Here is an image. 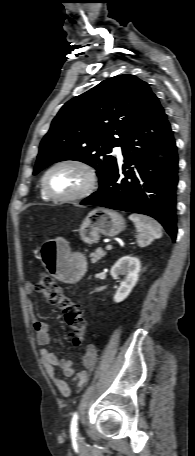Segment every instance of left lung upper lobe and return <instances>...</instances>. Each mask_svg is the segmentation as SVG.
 <instances>
[{
	"mask_svg": "<svg viewBox=\"0 0 195 456\" xmlns=\"http://www.w3.org/2000/svg\"><path fill=\"white\" fill-rule=\"evenodd\" d=\"M156 98L146 82L123 74L71 99L41 141L33 174L55 162L77 160L97 170L101 185L117 163L110 155L112 149L122 146L130 128Z\"/></svg>",
	"mask_w": 195,
	"mask_h": 456,
	"instance_id": "obj_1",
	"label": "left lung upper lobe"
}]
</instances>
